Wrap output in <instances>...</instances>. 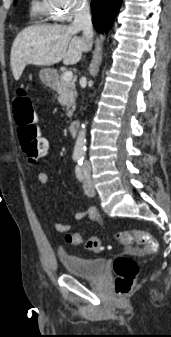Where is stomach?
<instances>
[{
    "instance_id": "0dacf381",
    "label": "stomach",
    "mask_w": 171,
    "mask_h": 337,
    "mask_svg": "<svg viewBox=\"0 0 171 337\" xmlns=\"http://www.w3.org/2000/svg\"><path fill=\"white\" fill-rule=\"evenodd\" d=\"M40 79L44 84L52 85L57 80V73L54 69L45 68L40 71Z\"/></svg>"
}]
</instances>
